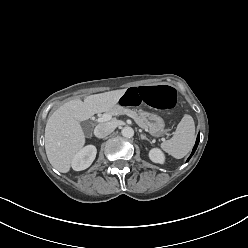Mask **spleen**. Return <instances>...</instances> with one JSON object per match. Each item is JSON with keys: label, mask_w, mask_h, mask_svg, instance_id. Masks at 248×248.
I'll return each mask as SVG.
<instances>
[{"label": "spleen", "mask_w": 248, "mask_h": 248, "mask_svg": "<svg viewBox=\"0 0 248 248\" xmlns=\"http://www.w3.org/2000/svg\"><path fill=\"white\" fill-rule=\"evenodd\" d=\"M195 141V124L192 116L185 114L173 137L161 144V148L176 159L186 156Z\"/></svg>", "instance_id": "spleen-1"}]
</instances>
